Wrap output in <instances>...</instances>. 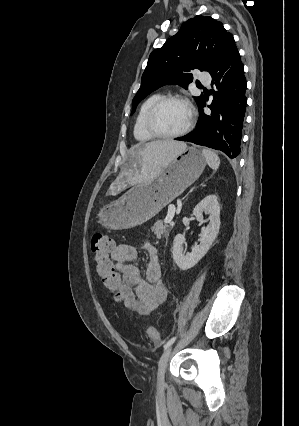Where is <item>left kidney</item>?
Wrapping results in <instances>:
<instances>
[{"mask_svg": "<svg viewBox=\"0 0 299 426\" xmlns=\"http://www.w3.org/2000/svg\"><path fill=\"white\" fill-rule=\"evenodd\" d=\"M203 213L209 215V224L201 229L200 244H195L190 253H183V244L186 242L182 234H177L173 241V259L181 270L194 267L216 239L220 228V205L215 195H208L202 199L194 208L193 215L197 221L203 223Z\"/></svg>", "mask_w": 299, "mask_h": 426, "instance_id": "5707ae66", "label": "left kidney"}]
</instances>
